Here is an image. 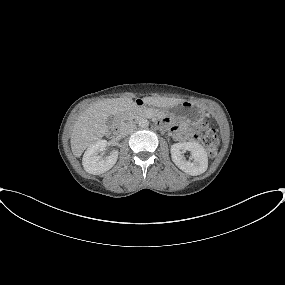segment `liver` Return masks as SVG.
<instances>
[{"label": "liver", "mask_w": 285, "mask_h": 285, "mask_svg": "<svg viewBox=\"0 0 285 285\" xmlns=\"http://www.w3.org/2000/svg\"><path fill=\"white\" fill-rule=\"evenodd\" d=\"M145 104L170 108L184 99L167 97H144ZM135 103L132 98L103 99L90 105L75 122L71 134V149L75 157H80L91 144L101 139L108 131L107 118L130 111Z\"/></svg>", "instance_id": "1"}]
</instances>
